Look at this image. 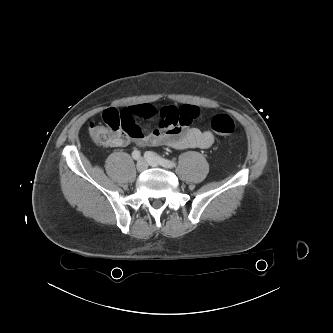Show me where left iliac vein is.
Wrapping results in <instances>:
<instances>
[{"mask_svg":"<svg viewBox=\"0 0 333 333\" xmlns=\"http://www.w3.org/2000/svg\"><path fill=\"white\" fill-rule=\"evenodd\" d=\"M146 161L147 163L152 166V167H157L159 165H161L158 160L154 157V156H151V157H147L146 158ZM162 166V165H161Z\"/></svg>","mask_w":333,"mask_h":333,"instance_id":"obj_1","label":"left iliac vein"}]
</instances>
